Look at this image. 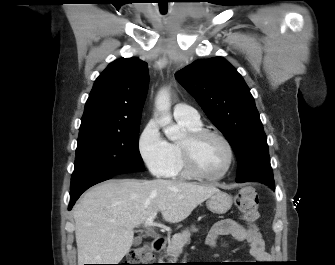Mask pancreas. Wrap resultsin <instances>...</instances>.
<instances>
[{
	"label": "pancreas",
	"mask_w": 335,
	"mask_h": 265,
	"mask_svg": "<svg viewBox=\"0 0 335 265\" xmlns=\"http://www.w3.org/2000/svg\"><path fill=\"white\" fill-rule=\"evenodd\" d=\"M194 226L191 229L183 230L181 233L173 235L172 239L168 242L166 249V256L171 257V260H177L183 251V247L190 242L191 232H197Z\"/></svg>",
	"instance_id": "1"
}]
</instances>
